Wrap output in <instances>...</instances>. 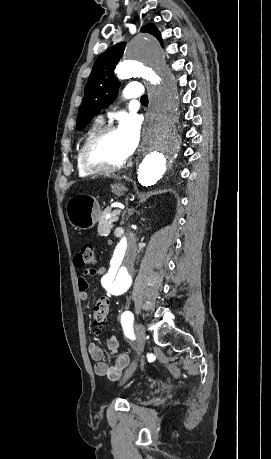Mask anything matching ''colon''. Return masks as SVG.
I'll list each match as a JSON object with an SVG mask.
<instances>
[{
  "instance_id": "obj_1",
  "label": "colon",
  "mask_w": 271,
  "mask_h": 459,
  "mask_svg": "<svg viewBox=\"0 0 271 459\" xmlns=\"http://www.w3.org/2000/svg\"><path fill=\"white\" fill-rule=\"evenodd\" d=\"M96 262L94 247L90 243L82 245L80 251L74 257V264L78 267L92 265ZM110 300L107 296L98 298L93 307V324L97 330H101L107 321Z\"/></svg>"
}]
</instances>
